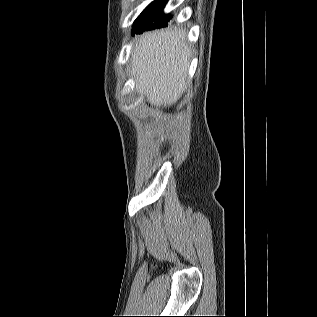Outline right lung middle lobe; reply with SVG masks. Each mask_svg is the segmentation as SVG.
Returning <instances> with one entry per match:
<instances>
[{"label":"right lung middle lobe","mask_w":317,"mask_h":317,"mask_svg":"<svg viewBox=\"0 0 317 317\" xmlns=\"http://www.w3.org/2000/svg\"><path fill=\"white\" fill-rule=\"evenodd\" d=\"M166 0H155L148 5L134 22V30L144 31L147 28H161L168 25L170 16L163 13Z\"/></svg>","instance_id":"1"}]
</instances>
